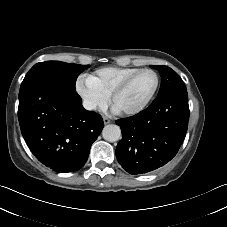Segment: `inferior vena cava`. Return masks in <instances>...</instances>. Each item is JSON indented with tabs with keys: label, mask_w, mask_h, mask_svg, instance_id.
<instances>
[{
	"label": "inferior vena cava",
	"mask_w": 227,
	"mask_h": 227,
	"mask_svg": "<svg viewBox=\"0 0 227 227\" xmlns=\"http://www.w3.org/2000/svg\"><path fill=\"white\" fill-rule=\"evenodd\" d=\"M83 106L86 110H94L96 108V105L93 102L88 100H85L83 102Z\"/></svg>",
	"instance_id": "inferior-vena-cava-1"
}]
</instances>
